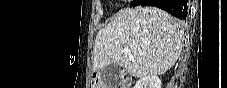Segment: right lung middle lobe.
<instances>
[{
	"mask_svg": "<svg viewBox=\"0 0 227 88\" xmlns=\"http://www.w3.org/2000/svg\"><path fill=\"white\" fill-rule=\"evenodd\" d=\"M140 2H141V0H133V2L131 3V5L132 6H137Z\"/></svg>",
	"mask_w": 227,
	"mask_h": 88,
	"instance_id": "1",
	"label": "right lung middle lobe"
}]
</instances>
